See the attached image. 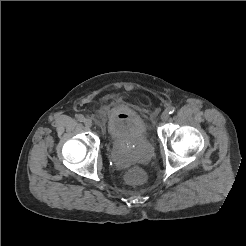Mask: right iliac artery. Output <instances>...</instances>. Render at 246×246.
I'll list each match as a JSON object with an SVG mask.
<instances>
[{"instance_id": "right-iliac-artery-1", "label": "right iliac artery", "mask_w": 246, "mask_h": 246, "mask_svg": "<svg viewBox=\"0 0 246 246\" xmlns=\"http://www.w3.org/2000/svg\"><path fill=\"white\" fill-rule=\"evenodd\" d=\"M77 119L80 121V122H83L85 117L83 115H78Z\"/></svg>"}]
</instances>
